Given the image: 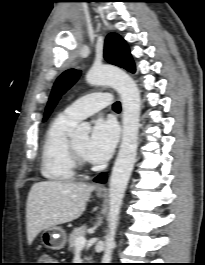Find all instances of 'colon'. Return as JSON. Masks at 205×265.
Instances as JSON below:
<instances>
[{"mask_svg":"<svg viewBox=\"0 0 205 265\" xmlns=\"http://www.w3.org/2000/svg\"><path fill=\"white\" fill-rule=\"evenodd\" d=\"M40 259L41 260H50V258L48 256H41ZM40 264H50V263H40Z\"/></svg>","mask_w":205,"mask_h":265,"instance_id":"colon-1","label":"colon"}]
</instances>
